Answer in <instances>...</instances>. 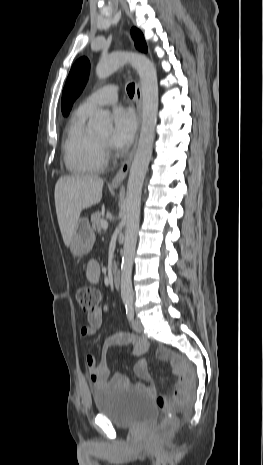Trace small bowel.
<instances>
[{
    "label": "small bowel",
    "mask_w": 263,
    "mask_h": 465,
    "mask_svg": "<svg viewBox=\"0 0 263 465\" xmlns=\"http://www.w3.org/2000/svg\"><path fill=\"white\" fill-rule=\"evenodd\" d=\"M100 266L96 260H90L87 263L86 267V277L87 279L95 283L99 280L100 277ZM87 325L81 329V335L83 337H92L96 334V332L100 329L103 323V312L101 308H97L95 311L87 314ZM128 343H133L134 350L133 354L138 356V360L134 366L135 374L141 378L142 380L148 381L149 374L147 371V363H146V354L149 348L148 343L138 338L132 334L124 333V334H116L111 335L105 339L101 347V354H100V361L97 362L93 355H87L85 358L86 365L88 367V372L90 379L95 388H103L106 385L114 386V387H128L133 383L121 374H115L112 376L110 380L109 378V370L107 366V355L109 350L115 346H121ZM138 387L144 388L151 394H156L155 387L148 383V384H135Z\"/></svg>",
    "instance_id": "c3829d8e"
}]
</instances>
